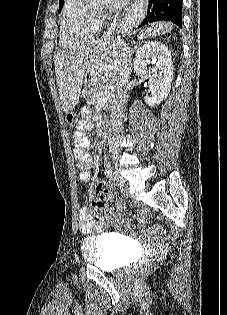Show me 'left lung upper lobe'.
<instances>
[{
  "label": "left lung upper lobe",
  "mask_w": 227,
  "mask_h": 315,
  "mask_svg": "<svg viewBox=\"0 0 227 315\" xmlns=\"http://www.w3.org/2000/svg\"><path fill=\"white\" fill-rule=\"evenodd\" d=\"M64 0H59V12L63 6Z\"/></svg>",
  "instance_id": "5c2ea615"
}]
</instances>
